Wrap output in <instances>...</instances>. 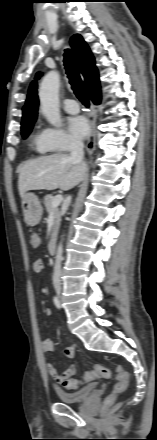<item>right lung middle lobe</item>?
Returning a JSON list of instances; mask_svg holds the SVG:
<instances>
[{
	"label": "right lung middle lobe",
	"instance_id": "obj_1",
	"mask_svg": "<svg viewBox=\"0 0 157 440\" xmlns=\"http://www.w3.org/2000/svg\"><path fill=\"white\" fill-rule=\"evenodd\" d=\"M32 127H33V123H27L21 125L22 135L24 138H26L30 134Z\"/></svg>",
	"mask_w": 157,
	"mask_h": 440
}]
</instances>
